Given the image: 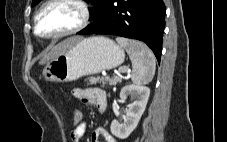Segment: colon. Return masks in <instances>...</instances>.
<instances>
[{"label": "colon", "instance_id": "1", "mask_svg": "<svg viewBox=\"0 0 227 142\" xmlns=\"http://www.w3.org/2000/svg\"><path fill=\"white\" fill-rule=\"evenodd\" d=\"M71 113H72V121H73L74 129L79 128L85 123L83 114L81 113L80 110L73 108Z\"/></svg>", "mask_w": 227, "mask_h": 142}]
</instances>
